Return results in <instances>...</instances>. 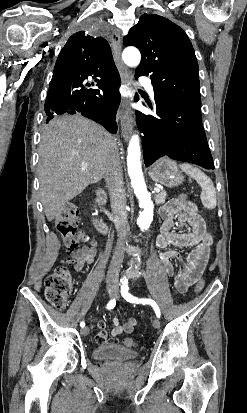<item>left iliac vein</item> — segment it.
Masks as SVG:
<instances>
[{
	"instance_id": "4c4485c4",
	"label": "left iliac vein",
	"mask_w": 247,
	"mask_h": 413,
	"mask_svg": "<svg viewBox=\"0 0 247 413\" xmlns=\"http://www.w3.org/2000/svg\"><path fill=\"white\" fill-rule=\"evenodd\" d=\"M115 297H116L117 299L120 298V295H119V293H118L117 291H116ZM152 325H153V327L156 328V329L160 328V320H159V318H155V319L153 320V322H152Z\"/></svg>"
}]
</instances>
